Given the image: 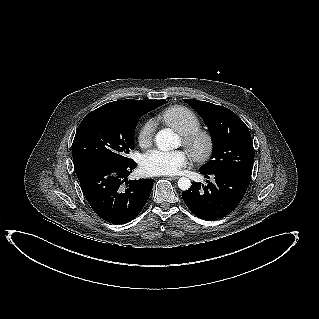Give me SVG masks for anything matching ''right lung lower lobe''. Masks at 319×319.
Here are the masks:
<instances>
[{
	"label": "right lung lower lobe",
	"mask_w": 319,
	"mask_h": 319,
	"mask_svg": "<svg viewBox=\"0 0 319 319\" xmlns=\"http://www.w3.org/2000/svg\"><path fill=\"white\" fill-rule=\"evenodd\" d=\"M136 163H96L76 173L83 194L93 211L103 220L125 224L134 219L146 204L153 179L127 180ZM125 182L127 188H122Z\"/></svg>",
	"instance_id": "right-lung-lower-lobe-1"
}]
</instances>
